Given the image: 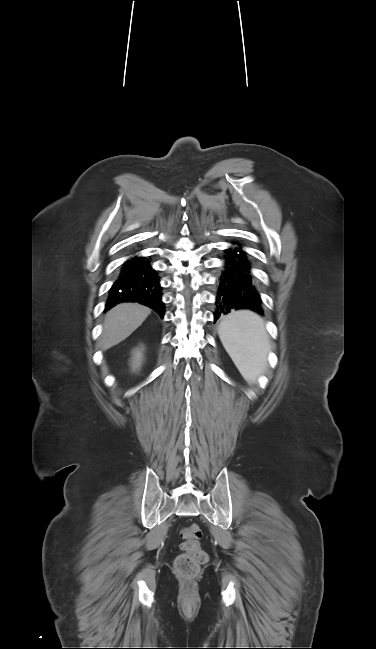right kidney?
<instances>
[{
	"label": "right kidney",
	"mask_w": 376,
	"mask_h": 649,
	"mask_svg": "<svg viewBox=\"0 0 376 649\" xmlns=\"http://www.w3.org/2000/svg\"><path fill=\"white\" fill-rule=\"evenodd\" d=\"M140 358H141V353L140 352H135V357L133 361V366L134 368H138L140 365Z\"/></svg>",
	"instance_id": "1"
}]
</instances>
